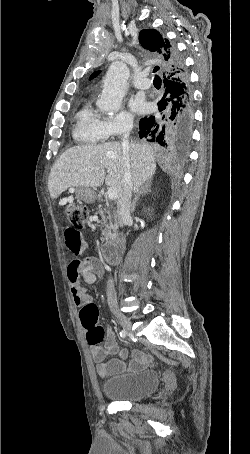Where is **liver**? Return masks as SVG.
<instances>
[{
  "label": "liver",
  "mask_w": 250,
  "mask_h": 454,
  "mask_svg": "<svg viewBox=\"0 0 250 454\" xmlns=\"http://www.w3.org/2000/svg\"><path fill=\"white\" fill-rule=\"evenodd\" d=\"M130 169L135 192L156 171L154 151L148 144L129 145ZM124 162L119 142L99 145H81L67 149L55 162L48 178L52 199L71 187L97 188L104 182L114 187L120 199L123 192Z\"/></svg>",
  "instance_id": "6515ba94"
}]
</instances>
